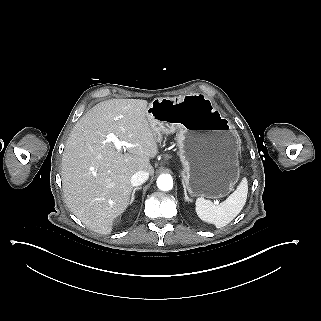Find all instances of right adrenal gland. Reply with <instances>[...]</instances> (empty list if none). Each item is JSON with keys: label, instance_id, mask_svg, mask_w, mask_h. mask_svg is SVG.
<instances>
[{"label": "right adrenal gland", "instance_id": "obj_1", "mask_svg": "<svg viewBox=\"0 0 321 321\" xmlns=\"http://www.w3.org/2000/svg\"><path fill=\"white\" fill-rule=\"evenodd\" d=\"M142 188L141 187H136L133 189V192L131 194V198H130V204L134 201V195L136 193L137 190H141Z\"/></svg>", "mask_w": 321, "mask_h": 321}]
</instances>
